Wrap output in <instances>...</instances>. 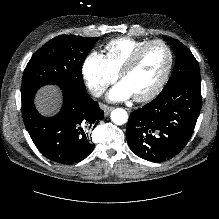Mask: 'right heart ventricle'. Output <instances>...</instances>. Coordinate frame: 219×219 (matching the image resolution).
<instances>
[{
    "label": "right heart ventricle",
    "instance_id": "right-heart-ventricle-1",
    "mask_svg": "<svg viewBox=\"0 0 219 219\" xmlns=\"http://www.w3.org/2000/svg\"><path fill=\"white\" fill-rule=\"evenodd\" d=\"M148 40H137L131 37H119L105 45V58L109 66L118 73L126 60Z\"/></svg>",
    "mask_w": 219,
    "mask_h": 219
}]
</instances>
